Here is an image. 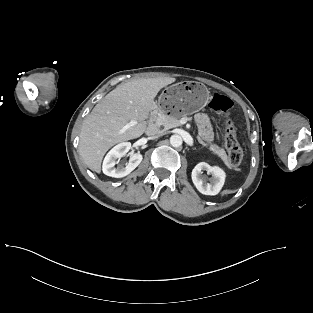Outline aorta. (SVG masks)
I'll use <instances>...</instances> for the list:
<instances>
[{"label": "aorta", "instance_id": "obj_1", "mask_svg": "<svg viewBox=\"0 0 313 313\" xmlns=\"http://www.w3.org/2000/svg\"><path fill=\"white\" fill-rule=\"evenodd\" d=\"M170 144L173 146V147H180L182 145V138L180 135H172L170 137Z\"/></svg>", "mask_w": 313, "mask_h": 313}]
</instances>
